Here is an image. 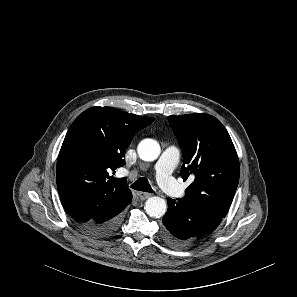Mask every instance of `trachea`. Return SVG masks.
Listing matches in <instances>:
<instances>
[{
    "mask_svg": "<svg viewBox=\"0 0 297 297\" xmlns=\"http://www.w3.org/2000/svg\"><path fill=\"white\" fill-rule=\"evenodd\" d=\"M130 187L134 190L154 193L150 184L148 183V180L143 177L139 178L137 181H135Z\"/></svg>",
    "mask_w": 297,
    "mask_h": 297,
    "instance_id": "3493384b",
    "label": "trachea"
}]
</instances>
